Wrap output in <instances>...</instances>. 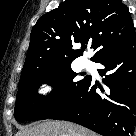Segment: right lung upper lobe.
Returning a JSON list of instances; mask_svg holds the SVG:
<instances>
[{
	"instance_id": "obj_1",
	"label": "right lung upper lobe",
	"mask_w": 136,
	"mask_h": 136,
	"mask_svg": "<svg viewBox=\"0 0 136 136\" xmlns=\"http://www.w3.org/2000/svg\"><path fill=\"white\" fill-rule=\"evenodd\" d=\"M134 35L133 20L121 0H66L40 17L33 27L20 79L71 64L83 54V50L73 49L75 43L83 45L90 40L94 60Z\"/></svg>"
}]
</instances>
